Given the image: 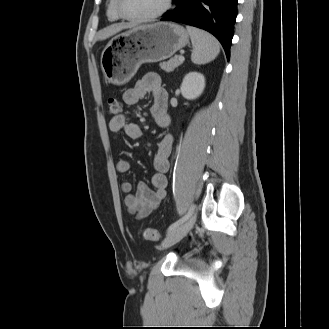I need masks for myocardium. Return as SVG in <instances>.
Returning <instances> with one entry per match:
<instances>
[{
	"mask_svg": "<svg viewBox=\"0 0 329 329\" xmlns=\"http://www.w3.org/2000/svg\"><path fill=\"white\" fill-rule=\"evenodd\" d=\"M171 5H172V0H165L163 7L159 11L146 16H133V15H128L124 12L122 8V0H116V10L119 16L123 19L134 21V22H147V21L158 19L171 8Z\"/></svg>",
	"mask_w": 329,
	"mask_h": 329,
	"instance_id": "myocardium-1",
	"label": "myocardium"
}]
</instances>
